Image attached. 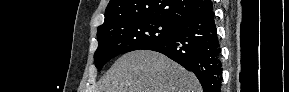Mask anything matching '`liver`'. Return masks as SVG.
I'll return each mask as SVG.
<instances>
[{"label":"liver","mask_w":289,"mask_h":92,"mask_svg":"<svg viewBox=\"0 0 289 92\" xmlns=\"http://www.w3.org/2000/svg\"><path fill=\"white\" fill-rule=\"evenodd\" d=\"M99 92H202L196 76L165 55L136 50L122 55L103 76Z\"/></svg>","instance_id":"6515ba94"}]
</instances>
